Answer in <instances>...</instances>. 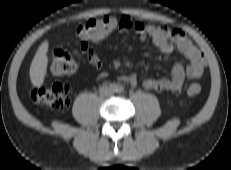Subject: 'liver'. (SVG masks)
Listing matches in <instances>:
<instances>
[{"label": "liver", "instance_id": "liver-1", "mask_svg": "<svg viewBox=\"0 0 231 170\" xmlns=\"http://www.w3.org/2000/svg\"><path fill=\"white\" fill-rule=\"evenodd\" d=\"M48 48L49 43L45 40L39 46L30 66V80L33 86L37 88L42 86L47 72Z\"/></svg>", "mask_w": 231, "mask_h": 170}]
</instances>
